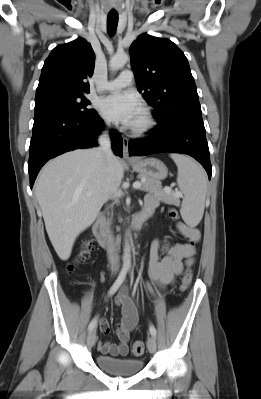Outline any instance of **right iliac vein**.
Here are the masks:
<instances>
[{
	"label": "right iliac vein",
	"instance_id": "1",
	"mask_svg": "<svg viewBox=\"0 0 261 399\" xmlns=\"http://www.w3.org/2000/svg\"><path fill=\"white\" fill-rule=\"evenodd\" d=\"M96 342V333L95 331H90V333L87 336V346L89 348L93 347Z\"/></svg>",
	"mask_w": 261,
	"mask_h": 399
}]
</instances>
